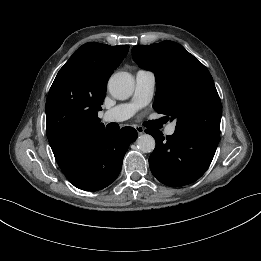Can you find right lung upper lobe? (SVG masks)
<instances>
[{
  "label": "right lung upper lobe",
  "mask_w": 261,
  "mask_h": 261,
  "mask_svg": "<svg viewBox=\"0 0 261 261\" xmlns=\"http://www.w3.org/2000/svg\"><path fill=\"white\" fill-rule=\"evenodd\" d=\"M128 50L127 45L89 42L58 72L46 100V132L63 173L74 167L105 131L97 112L107 81Z\"/></svg>",
  "instance_id": "1"
}]
</instances>
